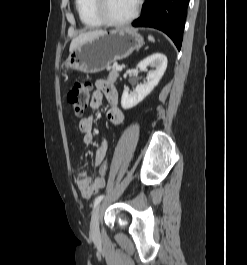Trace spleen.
Listing matches in <instances>:
<instances>
[{
    "mask_svg": "<svg viewBox=\"0 0 247 265\" xmlns=\"http://www.w3.org/2000/svg\"><path fill=\"white\" fill-rule=\"evenodd\" d=\"M148 40L154 42V38L152 36H148Z\"/></svg>",
    "mask_w": 247,
    "mask_h": 265,
    "instance_id": "obj_1",
    "label": "spleen"
}]
</instances>
